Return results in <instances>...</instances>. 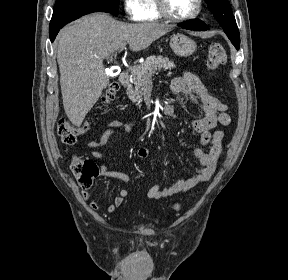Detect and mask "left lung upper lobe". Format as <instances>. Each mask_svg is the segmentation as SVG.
Returning <instances> with one entry per match:
<instances>
[{
	"instance_id": "1",
	"label": "left lung upper lobe",
	"mask_w": 288,
	"mask_h": 280,
	"mask_svg": "<svg viewBox=\"0 0 288 280\" xmlns=\"http://www.w3.org/2000/svg\"><path fill=\"white\" fill-rule=\"evenodd\" d=\"M232 44L240 46V35L228 0H205Z\"/></svg>"
}]
</instances>
